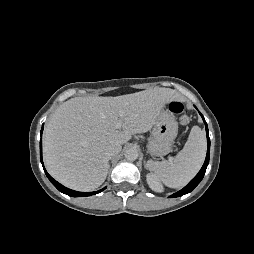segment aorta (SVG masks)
I'll return each mask as SVG.
<instances>
[{
  "label": "aorta",
  "instance_id": "1",
  "mask_svg": "<svg viewBox=\"0 0 254 254\" xmlns=\"http://www.w3.org/2000/svg\"><path fill=\"white\" fill-rule=\"evenodd\" d=\"M125 158L130 161H134L138 158L139 153L135 148H130L125 151Z\"/></svg>",
  "mask_w": 254,
  "mask_h": 254
}]
</instances>
